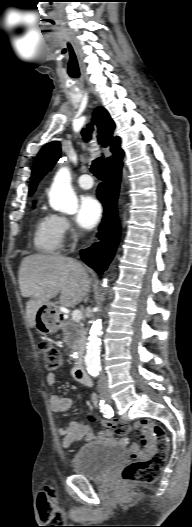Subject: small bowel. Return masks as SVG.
I'll use <instances>...</instances> for the list:
<instances>
[{"mask_svg": "<svg viewBox=\"0 0 192 527\" xmlns=\"http://www.w3.org/2000/svg\"><path fill=\"white\" fill-rule=\"evenodd\" d=\"M46 382L51 389V394H50L51 409L57 413L68 412L72 408L73 401L71 398L62 397L56 393L55 374L49 373L46 376ZM93 402L96 404L95 397H93ZM135 428L139 429L142 433L143 449H141L138 445L133 444L129 448L131 456L135 458H148L153 454L155 450L154 443L150 435V431L146 426H142L141 423H139L135 425L134 427L130 426L129 432H131ZM59 434L62 436L61 445L63 448H69L71 445L81 440H84L87 442L92 441L95 437L92 431V428L89 424L80 423L76 421H71L67 426L61 427L59 429ZM98 439L101 442L117 443L120 446H127L129 443L126 438H121L118 441H115L112 437V432L110 430L101 431Z\"/></svg>", "mask_w": 192, "mask_h": 527, "instance_id": "c3829d8e", "label": "small bowel"}]
</instances>
